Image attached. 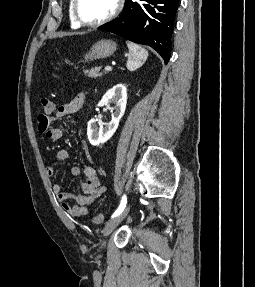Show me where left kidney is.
<instances>
[{
    "mask_svg": "<svg viewBox=\"0 0 255 287\" xmlns=\"http://www.w3.org/2000/svg\"><path fill=\"white\" fill-rule=\"evenodd\" d=\"M110 104H115L111 122H108V124H102L100 120H95V118H92V120H89L88 122L87 136L90 144L92 145L104 144V142L110 140L114 132H116L119 122L122 116H124L126 110L127 88L124 84H117V86H113L111 90H108L97 106H99V108H102V106L110 108Z\"/></svg>",
    "mask_w": 255,
    "mask_h": 287,
    "instance_id": "obj_1",
    "label": "left kidney"
}]
</instances>
